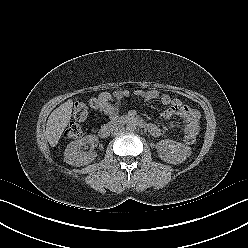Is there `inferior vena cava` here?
Returning <instances> with one entry per match:
<instances>
[{"label": "inferior vena cava", "mask_w": 248, "mask_h": 248, "mask_svg": "<svg viewBox=\"0 0 248 248\" xmlns=\"http://www.w3.org/2000/svg\"><path fill=\"white\" fill-rule=\"evenodd\" d=\"M124 128L121 127V126H117V127H114V129L112 131H114L113 133L116 134L118 132H121Z\"/></svg>", "instance_id": "602c4592"}]
</instances>
